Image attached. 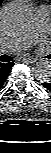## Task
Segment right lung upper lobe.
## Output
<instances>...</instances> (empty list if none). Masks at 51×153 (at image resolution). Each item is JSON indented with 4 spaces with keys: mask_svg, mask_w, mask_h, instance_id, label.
Here are the masks:
<instances>
[{
    "mask_svg": "<svg viewBox=\"0 0 51 153\" xmlns=\"http://www.w3.org/2000/svg\"><path fill=\"white\" fill-rule=\"evenodd\" d=\"M4 0H0V4L3 2Z\"/></svg>",
    "mask_w": 51,
    "mask_h": 153,
    "instance_id": "right-lung-upper-lobe-1",
    "label": "right lung upper lobe"
}]
</instances>
